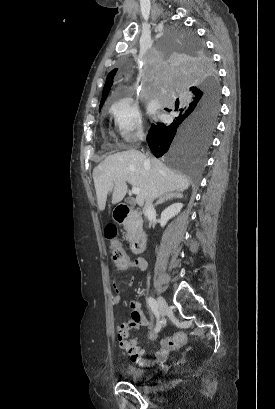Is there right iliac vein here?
Returning <instances> with one entry per match:
<instances>
[{"label": "right iliac vein", "mask_w": 275, "mask_h": 409, "mask_svg": "<svg viewBox=\"0 0 275 409\" xmlns=\"http://www.w3.org/2000/svg\"><path fill=\"white\" fill-rule=\"evenodd\" d=\"M158 308L161 316H164L168 311V304L162 296H158Z\"/></svg>", "instance_id": "right-iliac-vein-1"}]
</instances>
